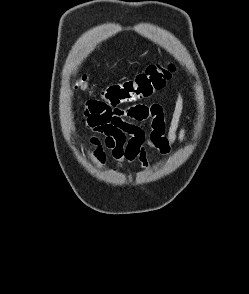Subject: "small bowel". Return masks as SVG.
Returning <instances> with one entry per match:
<instances>
[{
    "mask_svg": "<svg viewBox=\"0 0 249 294\" xmlns=\"http://www.w3.org/2000/svg\"><path fill=\"white\" fill-rule=\"evenodd\" d=\"M185 104L182 92L177 95L169 123L159 103L120 104L106 106L87 102L84 113L87 123L95 132L89 139L92 157L98 165L106 160L105 149L115 160L112 174H118L125 162L138 160L141 168L148 167L147 148L159 156H167L171 150L188 140L187 123L180 119ZM148 123L149 133L143 125ZM97 135H101V140Z\"/></svg>",
    "mask_w": 249,
    "mask_h": 294,
    "instance_id": "1",
    "label": "small bowel"
}]
</instances>
